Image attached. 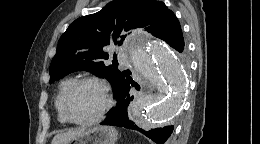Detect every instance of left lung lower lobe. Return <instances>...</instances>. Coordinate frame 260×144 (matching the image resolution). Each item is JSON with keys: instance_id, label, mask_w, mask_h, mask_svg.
<instances>
[{"instance_id": "left-lung-lower-lobe-1", "label": "left lung lower lobe", "mask_w": 260, "mask_h": 144, "mask_svg": "<svg viewBox=\"0 0 260 144\" xmlns=\"http://www.w3.org/2000/svg\"><path fill=\"white\" fill-rule=\"evenodd\" d=\"M168 44L177 51L183 52L185 43L182 30H180L168 42ZM131 86L139 89L134 81L125 73L123 82L117 87L116 91L114 92V96L117 100L116 107L112 108L109 111L107 118L103 122H101V125H112L137 130L145 134L157 144H164V142L170 137L171 133L173 132L174 126L168 125L148 131L140 128L136 124V122L133 121L131 109H129V104L133 100V96L130 97L129 94Z\"/></svg>"}]
</instances>
